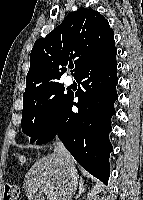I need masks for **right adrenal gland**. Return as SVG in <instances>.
<instances>
[{
	"mask_svg": "<svg viewBox=\"0 0 143 200\" xmlns=\"http://www.w3.org/2000/svg\"><path fill=\"white\" fill-rule=\"evenodd\" d=\"M84 191H85V185H84L83 179L81 178L79 182V192H78V195L76 196V200L80 198V196L82 195Z\"/></svg>",
	"mask_w": 143,
	"mask_h": 200,
	"instance_id": "1",
	"label": "right adrenal gland"
}]
</instances>
